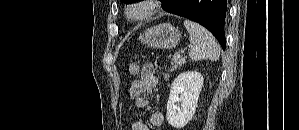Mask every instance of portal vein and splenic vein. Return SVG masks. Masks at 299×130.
<instances>
[{
  "mask_svg": "<svg viewBox=\"0 0 299 130\" xmlns=\"http://www.w3.org/2000/svg\"><path fill=\"white\" fill-rule=\"evenodd\" d=\"M175 56L179 57V56H180V53L177 52V53L175 54Z\"/></svg>",
  "mask_w": 299,
  "mask_h": 130,
  "instance_id": "18ae733b",
  "label": "portal vein and splenic vein"
}]
</instances>
